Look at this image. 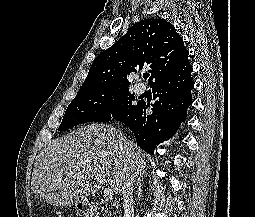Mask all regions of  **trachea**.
I'll list each match as a JSON object with an SVG mask.
<instances>
[{
  "label": "trachea",
  "instance_id": "trachea-1",
  "mask_svg": "<svg viewBox=\"0 0 255 217\" xmlns=\"http://www.w3.org/2000/svg\"><path fill=\"white\" fill-rule=\"evenodd\" d=\"M144 79H147L149 77L148 74L143 75Z\"/></svg>",
  "mask_w": 255,
  "mask_h": 217
}]
</instances>
